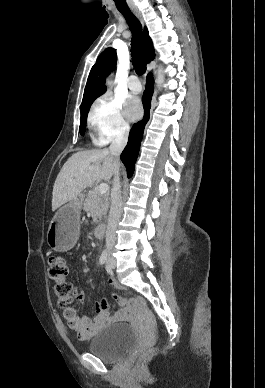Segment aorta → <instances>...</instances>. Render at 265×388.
<instances>
[{
    "label": "aorta",
    "mask_w": 265,
    "mask_h": 388,
    "mask_svg": "<svg viewBox=\"0 0 265 388\" xmlns=\"http://www.w3.org/2000/svg\"><path fill=\"white\" fill-rule=\"evenodd\" d=\"M164 79L165 78H164L162 67L159 66L158 67V73H157V80H156L158 89H161V86H162V84L164 82ZM107 85L108 86H112V82L111 81H107Z\"/></svg>",
    "instance_id": "762f6f07"
}]
</instances>
